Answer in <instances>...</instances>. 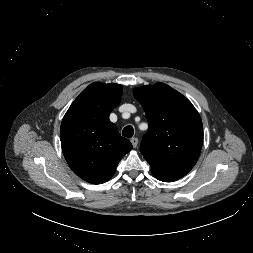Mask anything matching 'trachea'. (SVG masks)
Masks as SVG:
<instances>
[{
  "label": "trachea",
  "instance_id": "3493384b",
  "mask_svg": "<svg viewBox=\"0 0 253 253\" xmlns=\"http://www.w3.org/2000/svg\"><path fill=\"white\" fill-rule=\"evenodd\" d=\"M133 134H134V129H133V127L130 126V125H129V126H126V127L123 129V131H122V135L125 136V137H128V138L132 137Z\"/></svg>",
  "mask_w": 253,
  "mask_h": 253
}]
</instances>
